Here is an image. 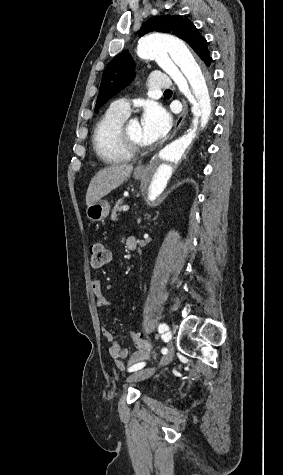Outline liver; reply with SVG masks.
<instances>
[{
    "mask_svg": "<svg viewBox=\"0 0 283 475\" xmlns=\"http://www.w3.org/2000/svg\"><path fill=\"white\" fill-rule=\"evenodd\" d=\"M132 170V164H112V166L97 172L88 186L86 194L87 206L99 202L101 198L110 194L112 190H116L125 180H128Z\"/></svg>",
    "mask_w": 283,
    "mask_h": 475,
    "instance_id": "liver-1",
    "label": "liver"
}]
</instances>
